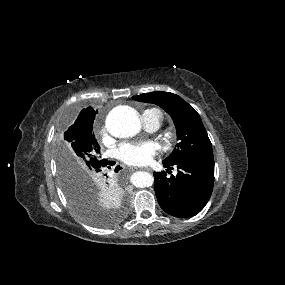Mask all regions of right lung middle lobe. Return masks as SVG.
<instances>
[{"label":"right lung middle lobe","mask_w":285,"mask_h":285,"mask_svg":"<svg viewBox=\"0 0 285 285\" xmlns=\"http://www.w3.org/2000/svg\"><path fill=\"white\" fill-rule=\"evenodd\" d=\"M92 127L67 130L57 144V167L63 192L73 210L95 227L112 224L104 214L98 194L112 193L124 203L114 179L102 177L100 147ZM125 206V205H124ZM119 217L115 216L114 220Z\"/></svg>","instance_id":"right-lung-middle-lobe-1"}]
</instances>
